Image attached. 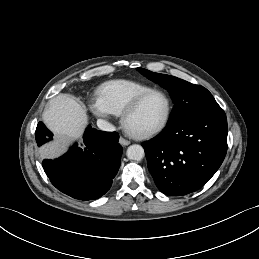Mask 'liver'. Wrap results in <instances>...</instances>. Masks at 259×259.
Wrapping results in <instances>:
<instances>
[{"label": "liver", "instance_id": "obj_1", "mask_svg": "<svg viewBox=\"0 0 259 259\" xmlns=\"http://www.w3.org/2000/svg\"><path fill=\"white\" fill-rule=\"evenodd\" d=\"M46 126L57 134L58 139L42 148L47 157H54L63 153L66 143L70 140H79L88 123L86 110L72 97L60 94L49 102L42 115Z\"/></svg>", "mask_w": 259, "mask_h": 259}]
</instances>
